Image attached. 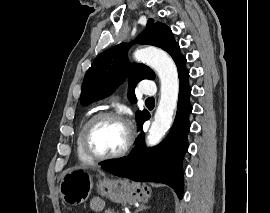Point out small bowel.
I'll list each match as a JSON object with an SVG mask.
<instances>
[{
	"label": "small bowel",
	"instance_id": "c3829d8e",
	"mask_svg": "<svg viewBox=\"0 0 270 213\" xmlns=\"http://www.w3.org/2000/svg\"><path fill=\"white\" fill-rule=\"evenodd\" d=\"M89 206L92 213H99L103 209V204L98 200H92Z\"/></svg>",
	"mask_w": 270,
	"mask_h": 213
}]
</instances>
